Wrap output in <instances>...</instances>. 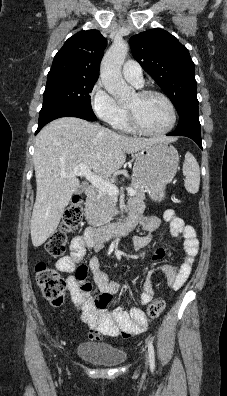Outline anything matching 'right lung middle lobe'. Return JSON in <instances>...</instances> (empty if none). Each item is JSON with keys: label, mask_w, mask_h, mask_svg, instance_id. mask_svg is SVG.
I'll return each mask as SVG.
<instances>
[{"label": "right lung middle lobe", "mask_w": 227, "mask_h": 396, "mask_svg": "<svg viewBox=\"0 0 227 396\" xmlns=\"http://www.w3.org/2000/svg\"><path fill=\"white\" fill-rule=\"evenodd\" d=\"M97 79L63 72L48 73L42 108L69 105L96 118L91 107L89 93Z\"/></svg>", "instance_id": "1"}]
</instances>
